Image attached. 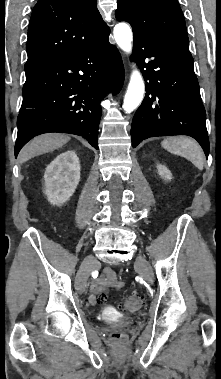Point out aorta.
Masks as SVG:
<instances>
[{
	"instance_id": "obj_1",
	"label": "aorta",
	"mask_w": 221,
	"mask_h": 379,
	"mask_svg": "<svg viewBox=\"0 0 221 379\" xmlns=\"http://www.w3.org/2000/svg\"><path fill=\"white\" fill-rule=\"evenodd\" d=\"M113 33L117 45L124 52L130 54L132 52L133 41L132 30L130 26L123 22L118 23L114 27ZM144 92L145 86L143 78L140 72L137 69H134L131 74L127 92L124 97L123 109L127 113H131L134 109H136L143 100Z\"/></svg>"
}]
</instances>
